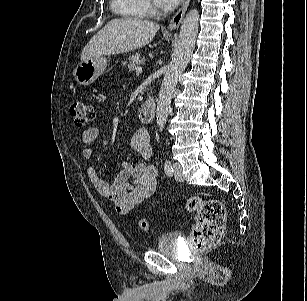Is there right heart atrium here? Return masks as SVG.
Wrapping results in <instances>:
<instances>
[{"mask_svg": "<svg viewBox=\"0 0 307 301\" xmlns=\"http://www.w3.org/2000/svg\"><path fill=\"white\" fill-rule=\"evenodd\" d=\"M148 10H151V6L148 4Z\"/></svg>", "mask_w": 307, "mask_h": 301, "instance_id": "1", "label": "right heart atrium"}]
</instances>
